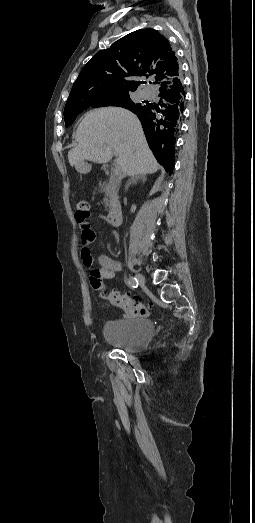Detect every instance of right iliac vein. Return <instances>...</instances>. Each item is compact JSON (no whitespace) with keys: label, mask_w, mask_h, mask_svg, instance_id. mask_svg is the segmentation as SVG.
<instances>
[{"label":"right iliac vein","mask_w":255,"mask_h":523,"mask_svg":"<svg viewBox=\"0 0 255 523\" xmlns=\"http://www.w3.org/2000/svg\"><path fill=\"white\" fill-rule=\"evenodd\" d=\"M136 278H137L138 282L140 283V285L145 284V277L142 274H137Z\"/></svg>","instance_id":"1"}]
</instances>
